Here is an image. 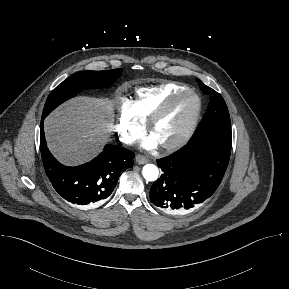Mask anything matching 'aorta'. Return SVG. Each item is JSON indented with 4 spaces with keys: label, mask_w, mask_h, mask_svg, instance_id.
<instances>
[{
    "label": "aorta",
    "mask_w": 289,
    "mask_h": 289,
    "mask_svg": "<svg viewBox=\"0 0 289 289\" xmlns=\"http://www.w3.org/2000/svg\"><path fill=\"white\" fill-rule=\"evenodd\" d=\"M142 174L147 181H155L158 178L159 170L154 164H146L143 167Z\"/></svg>",
    "instance_id": "obj_1"
}]
</instances>
